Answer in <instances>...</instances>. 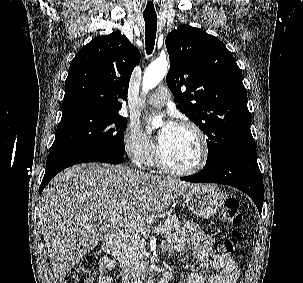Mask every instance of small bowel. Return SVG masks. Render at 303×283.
Listing matches in <instances>:
<instances>
[{"instance_id":"c3829d8e","label":"small bowel","mask_w":303,"mask_h":283,"mask_svg":"<svg viewBox=\"0 0 303 283\" xmlns=\"http://www.w3.org/2000/svg\"><path fill=\"white\" fill-rule=\"evenodd\" d=\"M187 242L197 259L199 272L178 283H237L240 270L234 259L217 251V240L206 236L198 225L185 221L182 228L163 243L165 254L183 251ZM111 257H102L99 265L98 283H112L108 273L113 268ZM174 276L166 273L161 283H173Z\"/></svg>"}]
</instances>
